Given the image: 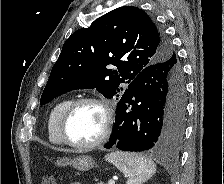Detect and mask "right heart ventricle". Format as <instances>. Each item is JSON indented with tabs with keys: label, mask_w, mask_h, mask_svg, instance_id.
<instances>
[{
	"label": "right heart ventricle",
	"mask_w": 224,
	"mask_h": 184,
	"mask_svg": "<svg viewBox=\"0 0 224 184\" xmlns=\"http://www.w3.org/2000/svg\"><path fill=\"white\" fill-rule=\"evenodd\" d=\"M70 102H71L70 98H66L57 102L49 113L47 122V132L49 141L52 144L55 145L63 144V141L59 133V122L64 110L66 109V107L69 105Z\"/></svg>",
	"instance_id": "e07e8e85"
}]
</instances>
